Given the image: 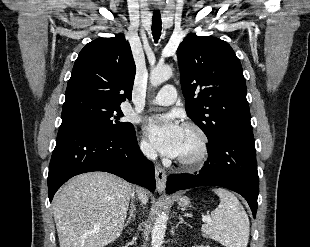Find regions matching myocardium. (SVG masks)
Masks as SVG:
<instances>
[{"instance_id":"1","label":"myocardium","mask_w":310,"mask_h":247,"mask_svg":"<svg viewBox=\"0 0 310 247\" xmlns=\"http://www.w3.org/2000/svg\"><path fill=\"white\" fill-rule=\"evenodd\" d=\"M183 129L192 131L198 138V150L191 156L177 157V162L185 167L199 166L208 156L209 139L206 132L195 123H185Z\"/></svg>"}]
</instances>
